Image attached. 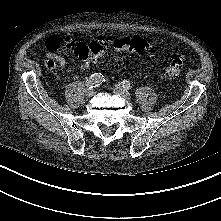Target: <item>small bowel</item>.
Returning <instances> with one entry per match:
<instances>
[{
    "label": "small bowel",
    "mask_w": 221,
    "mask_h": 221,
    "mask_svg": "<svg viewBox=\"0 0 221 221\" xmlns=\"http://www.w3.org/2000/svg\"><path fill=\"white\" fill-rule=\"evenodd\" d=\"M65 45L70 51H72L79 57L80 51L87 47L83 43L75 41L74 39L69 37L65 38ZM45 46L48 50V52L46 53L47 59L45 61L46 68L49 70H54L57 66L66 67L67 61L65 57L57 53V50L60 47L59 39L57 37L51 36L45 41ZM147 52L150 56H153L155 54V49L153 45L149 44Z\"/></svg>",
    "instance_id": "small-bowel-1"
}]
</instances>
